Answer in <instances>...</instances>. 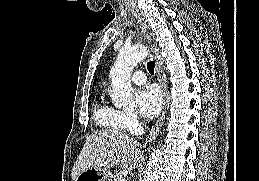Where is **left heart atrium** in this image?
Masks as SVG:
<instances>
[{
	"mask_svg": "<svg viewBox=\"0 0 259 181\" xmlns=\"http://www.w3.org/2000/svg\"><path fill=\"white\" fill-rule=\"evenodd\" d=\"M135 99L138 112L145 118L155 117L162 106V93L156 85L141 88Z\"/></svg>",
	"mask_w": 259,
	"mask_h": 181,
	"instance_id": "1",
	"label": "left heart atrium"
}]
</instances>
